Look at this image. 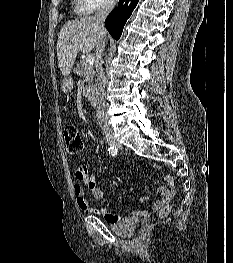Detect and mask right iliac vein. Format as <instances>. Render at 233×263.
<instances>
[{
	"label": "right iliac vein",
	"mask_w": 233,
	"mask_h": 263,
	"mask_svg": "<svg viewBox=\"0 0 233 263\" xmlns=\"http://www.w3.org/2000/svg\"><path fill=\"white\" fill-rule=\"evenodd\" d=\"M106 141L111 146L120 147L119 141L112 134L106 135Z\"/></svg>",
	"instance_id": "right-iliac-vein-1"
}]
</instances>
